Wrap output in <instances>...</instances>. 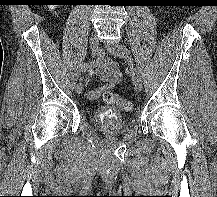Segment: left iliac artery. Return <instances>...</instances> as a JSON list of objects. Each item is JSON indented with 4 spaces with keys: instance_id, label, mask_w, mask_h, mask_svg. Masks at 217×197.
Segmentation results:
<instances>
[{
    "instance_id": "44dca946",
    "label": "left iliac artery",
    "mask_w": 217,
    "mask_h": 197,
    "mask_svg": "<svg viewBox=\"0 0 217 197\" xmlns=\"http://www.w3.org/2000/svg\"><path fill=\"white\" fill-rule=\"evenodd\" d=\"M121 47L127 55L130 54V51L128 50V48H126L125 46H121Z\"/></svg>"
}]
</instances>
